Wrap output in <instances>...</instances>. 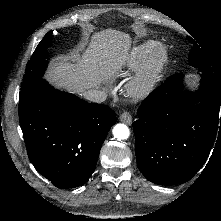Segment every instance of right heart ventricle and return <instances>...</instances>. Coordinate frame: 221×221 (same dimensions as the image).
<instances>
[{
  "instance_id": "1",
  "label": "right heart ventricle",
  "mask_w": 221,
  "mask_h": 221,
  "mask_svg": "<svg viewBox=\"0 0 221 221\" xmlns=\"http://www.w3.org/2000/svg\"><path fill=\"white\" fill-rule=\"evenodd\" d=\"M155 46V41L148 40L134 48L132 52L131 65L135 67L141 65L154 50Z\"/></svg>"
}]
</instances>
